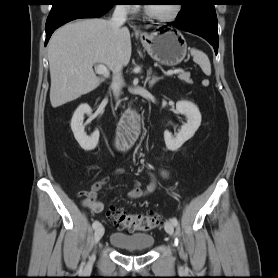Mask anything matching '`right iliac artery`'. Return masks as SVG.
I'll use <instances>...</instances> for the list:
<instances>
[{
	"label": "right iliac artery",
	"mask_w": 278,
	"mask_h": 278,
	"mask_svg": "<svg viewBox=\"0 0 278 278\" xmlns=\"http://www.w3.org/2000/svg\"><path fill=\"white\" fill-rule=\"evenodd\" d=\"M99 225H100V222L96 220L93 222L92 227H93V229H96Z\"/></svg>",
	"instance_id": "right-iliac-artery-1"
}]
</instances>
